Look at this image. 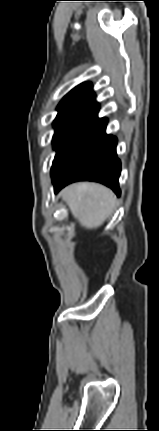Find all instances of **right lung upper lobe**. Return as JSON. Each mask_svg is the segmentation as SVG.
I'll list each match as a JSON object with an SVG mask.
<instances>
[{
    "label": "right lung upper lobe",
    "mask_w": 159,
    "mask_h": 431,
    "mask_svg": "<svg viewBox=\"0 0 159 431\" xmlns=\"http://www.w3.org/2000/svg\"><path fill=\"white\" fill-rule=\"evenodd\" d=\"M57 118L82 120L89 123L98 118L99 105L90 82L72 89L59 103Z\"/></svg>",
    "instance_id": "right-lung-upper-lobe-1"
}]
</instances>
